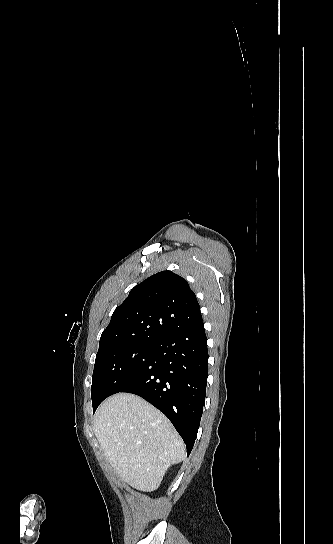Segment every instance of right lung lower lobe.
Returning <instances> with one entry per match:
<instances>
[{"instance_id":"obj_1","label":"right lung lower lobe","mask_w":333,"mask_h":544,"mask_svg":"<svg viewBox=\"0 0 333 544\" xmlns=\"http://www.w3.org/2000/svg\"><path fill=\"white\" fill-rule=\"evenodd\" d=\"M208 350L203 321L156 341L148 362L119 392L141 396L163 412L187 447L194 446L206 396Z\"/></svg>"}]
</instances>
